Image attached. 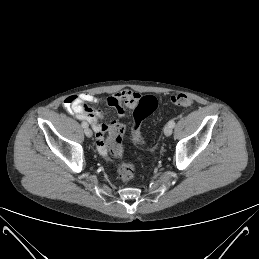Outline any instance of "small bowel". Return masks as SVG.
<instances>
[{
    "label": "small bowel",
    "instance_id": "small-bowel-1",
    "mask_svg": "<svg viewBox=\"0 0 259 259\" xmlns=\"http://www.w3.org/2000/svg\"><path fill=\"white\" fill-rule=\"evenodd\" d=\"M140 95L136 92L130 90H122L116 92L107 97L106 103L113 107L119 117L125 116V108H133L136 106ZM99 99L95 96L83 93L79 96L68 97L64 101V106L71 111L78 119L85 120L90 123L95 134H96V143L98 150L101 154H105L106 151V142L104 134L107 130V125L104 124L101 119L103 114L99 110H93L87 107L86 104H95L98 103ZM118 122H113L111 125ZM110 125V127H111Z\"/></svg>",
    "mask_w": 259,
    "mask_h": 259
}]
</instances>
